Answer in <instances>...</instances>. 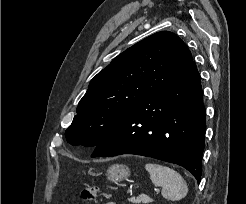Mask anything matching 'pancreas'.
Returning a JSON list of instances; mask_svg holds the SVG:
<instances>
[{
  "label": "pancreas",
  "mask_w": 246,
  "mask_h": 204,
  "mask_svg": "<svg viewBox=\"0 0 246 204\" xmlns=\"http://www.w3.org/2000/svg\"><path fill=\"white\" fill-rule=\"evenodd\" d=\"M128 201L139 204V203H149L151 201V198H149L147 195L141 194L137 197H130L128 198Z\"/></svg>",
  "instance_id": "pancreas-1"
}]
</instances>
